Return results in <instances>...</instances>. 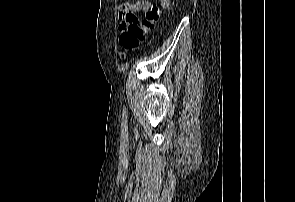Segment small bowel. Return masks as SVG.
<instances>
[{
    "label": "small bowel",
    "mask_w": 295,
    "mask_h": 202,
    "mask_svg": "<svg viewBox=\"0 0 295 202\" xmlns=\"http://www.w3.org/2000/svg\"><path fill=\"white\" fill-rule=\"evenodd\" d=\"M161 4L164 8H168L170 6V0H160ZM151 2L149 0H135L132 3H127L122 6L119 17L121 19V23L119 26V30L124 32L129 23H140L137 12L143 11L146 12L151 8Z\"/></svg>",
    "instance_id": "c3829d8e"
}]
</instances>
